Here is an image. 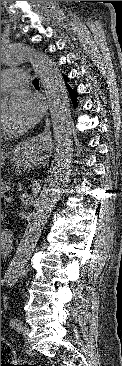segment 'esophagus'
Returning a JSON list of instances; mask_svg holds the SVG:
<instances>
[{
	"label": "esophagus",
	"mask_w": 122,
	"mask_h": 366,
	"mask_svg": "<svg viewBox=\"0 0 122 366\" xmlns=\"http://www.w3.org/2000/svg\"><path fill=\"white\" fill-rule=\"evenodd\" d=\"M47 121H48V118H47ZM47 133H49V128H46L43 134H47Z\"/></svg>",
	"instance_id": "esophagus-1"
}]
</instances>
